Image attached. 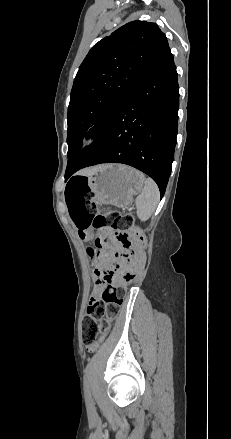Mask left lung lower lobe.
<instances>
[{
    "label": "left lung lower lobe",
    "mask_w": 231,
    "mask_h": 439,
    "mask_svg": "<svg viewBox=\"0 0 231 439\" xmlns=\"http://www.w3.org/2000/svg\"><path fill=\"white\" fill-rule=\"evenodd\" d=\"M178 109V77L170 52L130 90L95 141L68 160V176L87 166L123 163L149 175L162 198L174 157Z\"/></svg>",
    "instance_id": "0a47b994"
}]
</instances>
